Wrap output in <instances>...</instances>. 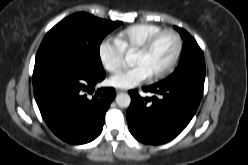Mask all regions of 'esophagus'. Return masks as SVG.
<instances>
[{
  "mask_svg": "<svg viewBox=\"0 0 248 165\" xmlns=\"http://www.w3.org/2000/svg\"><path fill=\"white\" fill-rule=\"evenodd\" d=\"M124 90H122V89H116V93H121V92H123Z\"/></svg>",
  "mask_w": 248,
  "mask_h": 165,
  "instance_id": "1",
  "label": "esophagus"
}]
</instances>
